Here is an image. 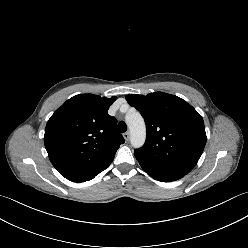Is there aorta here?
<instances>
[{"instance_id": "1", "label": "aorta", "mask_w": 248, "mask_h": 248, "mask_svg": "<svg viewBox=\"0 0 248 248\" xmlns=\"http://www.w3.org/2000/svg\"><path fill=\"white\" fill-rule=\"evenodd\" d=\"M126 123L130 130V142L133 147H141L146 139V127L142 116L138 112L129 113Z\"/></svg>"}]
</instances>
